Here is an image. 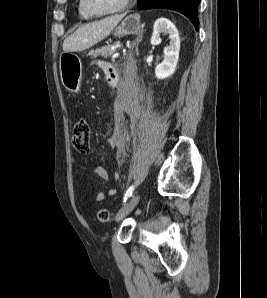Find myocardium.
Here are the masks:
<instances>
[{
  "label": "myocardium",
  "mask_w": 267,
  "mask_h": 298,
  "mask_svg": "<svg viewBox=\"0 0 267 298\" xmlns=\"http://www.w3.org/2000/svg\"><path fill=\"white\" fill-rule=\"evenodd\" d=\"M133 0H124L123 3L120 5V7H118L117 9L113 10V11H109V12H96L93 11L88 3L87 0H81V5L83 10L91 17H106V16H112V15H117V14H121L124 11L127 10V8L130 6L131 2Z\"/></svg>",
  "instance_id": "1"
}]
</instances>
